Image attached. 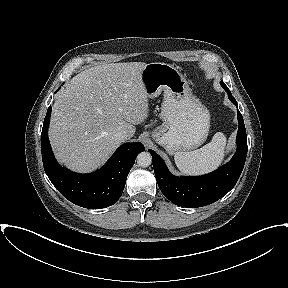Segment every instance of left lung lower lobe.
<instances>
[{
	"label": "left lung lower lobe",
	"mask_w": 288,
	"mask_h": 288,
	"mask_svg": "<svg viewBox=\"0 0 288 288\" xmlns=\"http://www.w3.org/2000/svg\"><path fill=\"white\" fill-rule=\"evenodd\" d=\"M229 99L237 105L228 88ZM239 128L237 151L232 159L212 173L197 177H176L167 169L164 161L154 152L152 155L155 177L161 192L175 205L196 208L212 204L226 195L236 184L247 156V135L244 121L237 108Z\"/></svg>",
	"instance_id": "left-lung-lower-lobe-1"
}]
</instances>
